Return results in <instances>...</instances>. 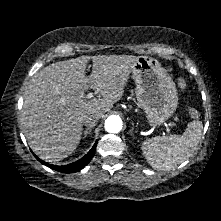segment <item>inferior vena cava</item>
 Instances as JSON below:
<instances>
[{
  "mask_svg": "<svg viewBox=\"0 0 221 221\" xmlns=\"http://www.w3.org/2000/svg\"><path fill=\"white\" fill-rule=\"evenodd\" d=\"M99 120V116L97 114H86L83 116L82 121L85 126L93 128Z\"/></svg>",
  "mask_w": 221,
  "mask_h": 221,
  "instance_id": "inferior-vena-cava-1",
  "label": "inferior vena cava"
}]
</instances>
